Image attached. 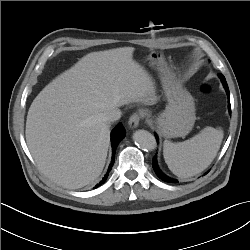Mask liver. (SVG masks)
I'll use <instances>...</instances> for the list:
<instances>
[{
    "instance_id": "obj_1",
    "label": "liver",
    "mask_w": 250,
    "mask_h": 250,
    "mask_svg": "<svg viewBox=\"0 0 250 250\" xmlns=\"http://www.w3.org/2000/svg\"><path fill=\"white\" fill-rule=\"evenodd\" d=\"M133 52V47H122L89 53L33 100L26 142L53 182L69 189L93 183L110 145L104 113L132 102L153 103V81L133 60Z\"/></svg>"
}]
</instances>
